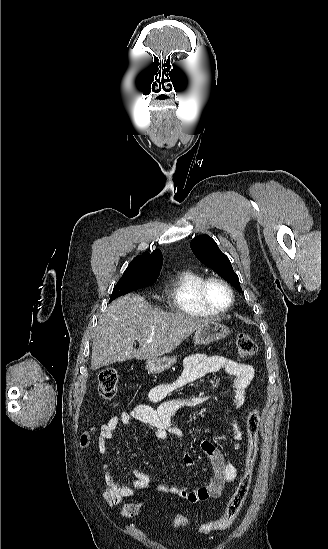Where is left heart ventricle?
Instances as JSON below:
<instances>
[{"instance_id":"obj_1","label":"left heart ventricle","mask_w":328,"mask_h":549,"mask_svg":"<svg viewBox=\"0 0 328 549\" xmlns=\"http://www.w3.org/2000/svg\"><path fill=\"white\" fill-rule=\"evenodd\" d=\"M209 306L215 310L226 308L230 301L228 290L220 284H212L208 289Z\"/></svg>"}]
</instances>
